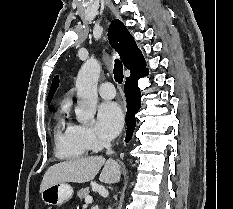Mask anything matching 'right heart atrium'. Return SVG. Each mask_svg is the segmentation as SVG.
I'll list each match as a JSON object with an SVG mask.
<instances>
[{"mask_svg": "<svg viewBox=\"0 0 233 209\" xmlns=\"http://www.w3.org/2000/svg\"><path fill=\"white\" fill-rule=\"evenodd\" d=\"M73 126L77 141L88 150L98 151L108 144L92 127L85 125Z\"/></svg>", "mask_w": 233, "mask_h": 209, "instance_id": "1", "label": "right heart atrium"}]
</instances>
